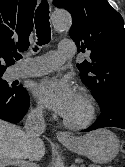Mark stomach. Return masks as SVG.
I'll return each mask as SVG.
<instances>
[{
    "label": "stomach",
    "instance_id": "obj_1",
    "mask_svg": "<svg viewBox=\"0 0 125 167\" xmlns=\"http://www.w3.org/2000/svg\"><path fill=\"white\" fill-rule=\"evenodd\" d=\"M77 154L84 155L91 161L103 164L113 160L120 149L117 136L107 130L98 129L85 136L75 138L71 143H63Z\"/></svg>",
    "mask_w": 125,
    "mask_h": 167
}]
</instances>
